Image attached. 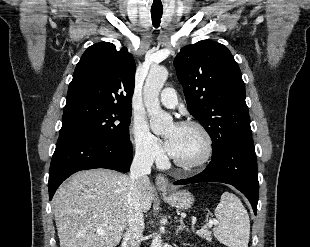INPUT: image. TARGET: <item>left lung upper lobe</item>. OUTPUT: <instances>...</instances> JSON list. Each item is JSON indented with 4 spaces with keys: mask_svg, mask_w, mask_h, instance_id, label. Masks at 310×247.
Segmentation results:
<instances>
[{
    "mask_svg": "<svg viewBox=\"0 0 310 247\" xmlns=\"http://www.w3.org/2000/svg\"><path fill=\"white\" fill-rule=\"evenodd\" d=\"M174 66L190 114L212 139V155L251 137L245 84L227 47L212 40L185 46L175 57Z\"/></svg>",
    "mask_w": 310,
    "mask_h": 247,
    "instance_id": "left-lung-upper-lobe-1",
    "label": "left lung upper lobe"
}]
</instances>
